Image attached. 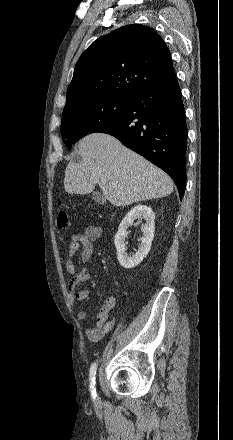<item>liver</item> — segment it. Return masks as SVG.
Instances as JSON below:
<instances>
[{
	"label": "liver",
	"mask_w": 233,
	"mask_h": 440,
	"mask_svg": "<svg viewBox=\"0 0 233 440\" xmlns=\"http://www.w3.org/2000/svg\"><path fill=\"white\" fill-rule=\"evenodd\" d=\"M78 149L82 160L69 162L65 171L69 194L91 193L98 184L112 205L124 207L173 191V181L164 171L111 135L91 133L79 141Z\"/></svg>",
	"instance_id": "obj_1"
}]
</instances>
